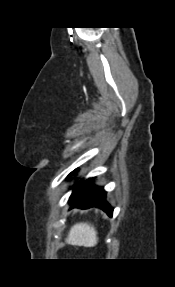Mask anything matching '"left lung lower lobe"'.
Masks as SVG:
<instances>
[{
  "instance_id": "0a47b994",
  "label": "left lung lower lobe",
  "mask_w": 175,
  "mask_h": 287,
  "mask_svg": "<svg viewBox=\"0 0 175 287\" xmlns=\"http://www.w3.org/2000/svg\"><path fill=\"white\" fill-rule=\"evenodd\" d=\"M94 178L87 180L81 179L73 186L70 196L71 208L87 209L90 207H99L109 216H112L113 209L105 201L106 192L103 187H96L92 184Z\"/></svg>"
}]
</instances>
